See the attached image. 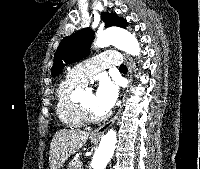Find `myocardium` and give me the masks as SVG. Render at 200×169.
Listing matches in <instances>:
<instances>
[{
	"instance_id": "myocardium-1",
	"label": "myocardium",
	"mask_w": 200,
	"mask_h": 169,
	"mask_svg": "<svg viewBox=\"0 0 200 169\" xmlns=\"http://www.w3.org/2000/svg\"><path fill=\"white\" fill-rule=\"evenodd\" d=\"M86 120L90 123H98L106 119V115H97L86 103H81Z\"/></svg>"
}]
</instances>
